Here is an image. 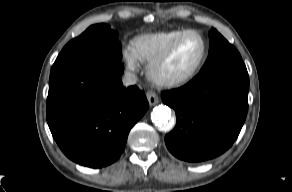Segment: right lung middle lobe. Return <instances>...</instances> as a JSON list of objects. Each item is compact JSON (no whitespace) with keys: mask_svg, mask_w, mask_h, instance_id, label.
Segmentation results:
<instances>
[{"mask_svg":"<svg viewBox=\"0 0 292 192\" xmlns=\"http://www.w3.org/2000/svg\"><path fill=\"white\" fill-rule=\"evenodd\" d=\"M86 52H104L121 60L122 48L117 32L106 24L92 25L79 37L71 40L60 54Z\"/></svg>","mask_w":292,"mask_h":192,"instance_id":"dd1d6c3e","label":"right lung middle lobe"}]
</instances>
